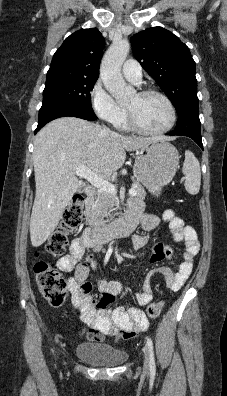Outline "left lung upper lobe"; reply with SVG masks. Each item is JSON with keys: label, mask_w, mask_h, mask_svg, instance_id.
Here are the masks:
<instances>
[{"label": "left lung upper lobe", "mask_w": 227, "mask_h": 396, "mask_svg": "<svg viewBox=\"0 0 227 396\" xmlns=\"http://www.w3.org/2000/svg\"><path fill=\"white\" fill-rule=\"evenodd\" d=\"M135 58L157 82L179 113L198 104L195 62L189 48L170 31L152 27L131 37Z\"/></svg>", "instance_id": "obj_1"}]
</instances>
